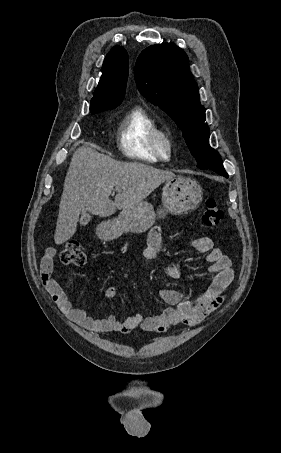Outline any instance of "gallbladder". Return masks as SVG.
Wrapping results in <instances>:
<instances>
[{"mask_svg":"<svg viewBox=\"0 0 281 453\" xmlns=\"http://www.w3.org/2000/svg\"><path fill=\"white\" fill-rule=\"evenodd\" d=\"M89 220H91L90 214H83L81 220H80V225L83 227L87 226L89 223Z\"/></svg>","mask_w":281,"mask_h":453,"instance_id":"obj_1","label":"gallbladder"}]
</instances>
